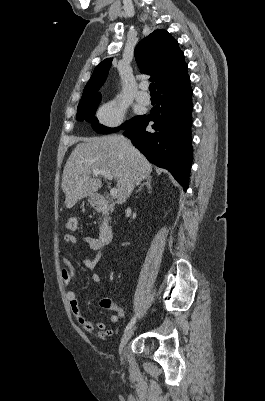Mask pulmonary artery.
<instances>
[{
  "mask_svg": "<svg viewBox=\"0 0 265 401\" xmlns=\"http://www.w3.org/2000/svg\"><path fill=\"white\" fill-rule=\"evenodd\" d=\"M145 84H146V82L142 81V82H140L139 86L141 87V86H143ZM137 101L140 102V103L148 105L151 102V98H150L149 95H146L145 91L140 90L137 93Z\"/></svg>",
  "mask_w": 265,
  "mask_h": 401,
  "instance_id": "e3ab8cb5",
  "label": "pulmonary artery"
}]
</instances>
